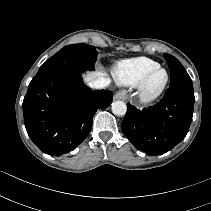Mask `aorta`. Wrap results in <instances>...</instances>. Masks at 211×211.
<instances>
[{
    "mask_svg": "<svg viewBox=\"0 0 211 211\" xmlns=\"http://www.w3.org/2000/svg\"><path fill=\"white\" fill-rule=\"evenodd\" d=\"M127 106L123 101H115L112 103V112L115 115L123 116L126 114Z\"/></svg>",
    "mask_w": 211,
    "mask_h": 211,
    "instance_id": "obj_1",
    "label": "aorta"
}]
</instances>
